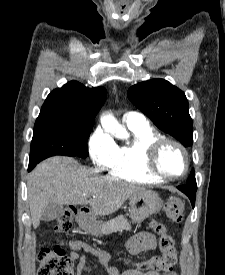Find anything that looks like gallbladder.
I'll return each mask as SVG.
<instances>
[{
	"mask_svg": "<svg viewBox=\"0 0 225 275\" xmlns=\"http://www.w3.org/2000/svg\"><path fill=\"white\" fill-rule=\"evenodd\" d=\"M63 211V205L51 202L43 210L41 214V220L48 222L56 219Z\"/></svg>",
	"mask_w": 225,
	"mask_h": 275,
	"instance_id": "bac80fb5",
	"label": "gallbladder"
}]
</instances>
